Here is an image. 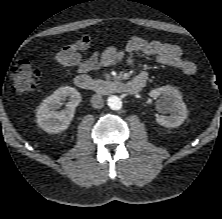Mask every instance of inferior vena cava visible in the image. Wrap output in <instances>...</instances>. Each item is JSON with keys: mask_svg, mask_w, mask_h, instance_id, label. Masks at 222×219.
I'll use <instances>...</instances> for the list:
<instances>
[{"mask_svg": "<svg viewBox=\"0 0 222 219\" xmlns=\"http://www.w3.org/2000/svg\"><path fill=\"white\" fill-rule=\"evenodd\" d=\"M91 105L92 107L96 108V109H100L104 106V101L103 98L100 95H93L91 97Z\"/></svg>", "mask_w": 222, "mask_h": 219, "instance_id": "inferior-vena-cava-1", "label": "inferior vena cava"}]
</instances>
